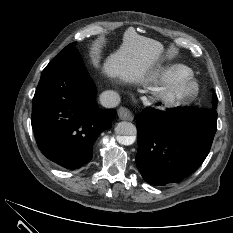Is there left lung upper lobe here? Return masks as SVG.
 <instances>
[{"label":"left lung upper lobe","instance_id":"5c2ea615","mask_svg":"<svg viewBox=\"0 0 233 233\" xmlns=\"http://www.w3.org/2000/svg\"><path fill=\"white\" fill-rule=\"evenodd\" d=\"M216 105H217V100H216V96H215V93H214V97H213V106H212V108H210V109L214 110L215 107H216Z\"/></svg>","mask_w":233,"mask_h":233}]
</instances>
